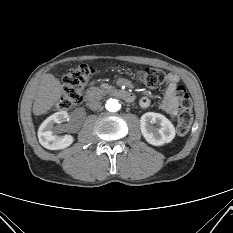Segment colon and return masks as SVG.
Returning <instances> with one entry per match:
<instances>
[{
  "instance_id": "5ec220e1",
  "label": "colon",
  "mask_w": 233,
  "mask_h": 233,
  "mask_svg": "<svg viewBox=\"0 0 233 233\" xmlns=\"http://www.w3.org/2000/svg\"><path fill=\"white\" fill-rule=\"evenodd\" d=\"M92 74L93 68L86 64L75 66L67 72L63 80V93L58 102L60 110H68L82 101L83 89ZM139 77L149 88H156L165 81L164 72L155 68L142 69ZM175 92L181 108L178 114L177 132L179 135H186L193 120L192 102L184 87L178 86Z\"/></svg>"
}]
</instances>
